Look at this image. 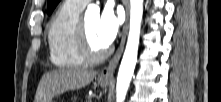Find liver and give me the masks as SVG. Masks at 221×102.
Returning a JSON list of instances; mask_svg holds the SVG:
<instances>
[{
    "instance_id": "6515ba94",
    "label": "liver",
    "mask_w": 221,
    "mask_h": 102,
    "mask_svg": "<svg viewBox=\"0 0 221 102\" xmlns=\"http://www.w3.org/2000/svg\"><path fill=\"white\" fill-rule=\"evenodd\" d=\"M97 72L81 68H66L44 74L38 85L35 102H50L58 94L89 85Z\"/></svg>"
}]
</instances>
